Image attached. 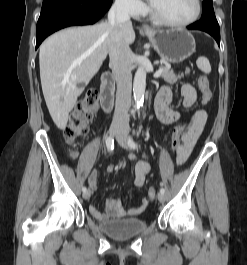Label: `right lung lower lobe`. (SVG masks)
Here are the masks:
<instances>
[{
    "label": "right lung lower lobe",
    "instance_id": "obj_1",
    "mask_svg": "<svg viewBox=\"0 0 247 265\" xmlns=\"http://www.w3.org/2000/svg\"><path fill=\"white\" fill-rule=\"evenodd\" d=\"M111 4L112 0H43L37 22L36 49L47 36L57 30L97 22Z\"/></svg>",
    "mask_w": 247,
    "mask_h": 265
}]
</instances>
